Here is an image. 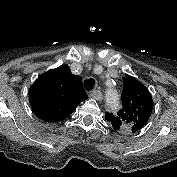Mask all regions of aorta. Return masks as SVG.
Returning a JSON list of instances; mask_svg holds the SVG:
<instances>
[{"mask_svg":"<svg viewBox=\"0 0 177 177\" xmlns=\"http://www.w3.org/2000/svg\"><path fill=\"white\" fill-rule=\"evenodd\" d=\"M106 105L111 110L119 106V96L117 91L113 88L107 89L106 91Z\"/></svg>","mask_w":177,"mask_h":177,"instance_id":"1","label":"aorta"}]
</instances>
